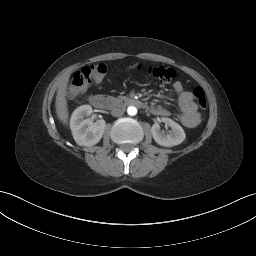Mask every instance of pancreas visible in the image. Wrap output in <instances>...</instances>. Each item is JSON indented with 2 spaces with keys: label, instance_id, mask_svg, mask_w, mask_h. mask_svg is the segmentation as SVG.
Returning <instances> with one entry per match:
<instances>
[{
  "label": "pancreas",
  "instance_id": "obj_1",
  "mask_svg": "<svg viewBox=\"0 0 256 256\" xmlns=\"http://www.w3.org/2000/svg\"><path fill=\"white\" fill-rule=\"evenodd\" d=\"M110 98H111V100H112L113 102H116V103L121 102L122 100L126 99L125 96H119V97H117V98H115V97H110Z\"/></svg>",
  "mask_w": 256,
  "mask_h": 256
}]
</instances>
